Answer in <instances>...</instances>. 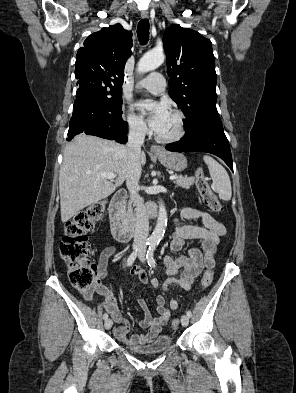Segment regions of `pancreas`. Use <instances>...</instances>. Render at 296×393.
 I'll list each match as a JSON object with an SVG mask.
<instances>
[{"mask_svg": "<svg viewBox=\"0 0 296 393\" xmlns=\"http://www.w3.org/2000/svg\"><path fill=\"white\" fill-rule=\"evenodd\" d=\"M176 184V187H182L184 189H189L193 184H194V178L193 177H187V176H178L177 179L174 181ZM124 215L128 218V221L134 220V214H133V209L131 206V203L127 205V207L124 209Z\"/></svg>", "mask_w": 296, "mask_h": 393, "instance_id": "cf45deb5", "label": "pancreas"}]
</instances>
